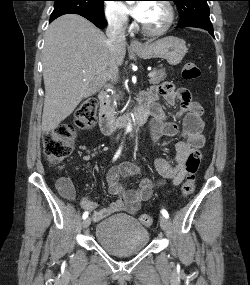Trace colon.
<instances>
[{
	"label": "colon",
	"instance_id": "5ec220e1",
	"mask_svg": "<svg viewBox=\"0 0 250 285\" xmlns=\"http://www.w3.org/2000/svg\"><path fill=\"white\" fill-rule=\"evenodd\" d=\"M182 77L185 80H195L200 77V69L193 62H186L182 67ZM97 103L93 99L84 101L77 109L73 124L61 125L44 135V155L48 162L57 164L67 158L74 147V137L78 129H89L96 122ZM202 160L201 151L196 148L188 155L185 163L186 178L181 185V196L187 198L193 194L196 187V174ZM140 222L145 227L153 224L150 215L140 216Z\"/></svg>",
	"mask_w": 250,
	"mask_h": 285
}]
</instances>
